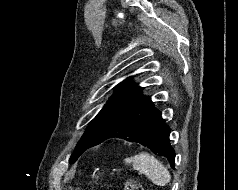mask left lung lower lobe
<instances>
[{
  "instance_id": "0a47b994",
  "label": "left lung lower lobe",
  "mask_w": 238,
  "mask_h": 190,
  "mask_svg": "<svg viewBox=\"0 0 238 190\" xmlns=\"http://www.w3.org/2000/svg\"><path fill=\"white\" fill-rule=\"evenodd\" d=\"M169 134L170 129L161 112L154 107L151 97L142 95L122 113L103 141L117 137L140 143L166 157L174 168L175 151L170 145Z\"/></svg>"
}]
</instances>
